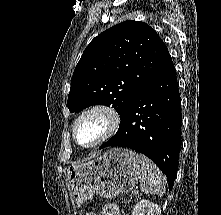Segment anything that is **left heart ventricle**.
<instances>
[{
	"label": "left heart ventricle",
	"instance_id": "b2bd125f",
	"mask_svg": "<svg viewBox=\"0 0 221 215\" xmlns=\"http://www.w3.org/2000/svg\"><path fill=\"white\" fill-rule=\"evenodd\" d=\"M106 127L107 120L102 114H89L77 126V139L82 145L92 144L105 132Z\"/></svg>",
	"mask_w": 221,
	"mask_h": 215
}]
</instances>
